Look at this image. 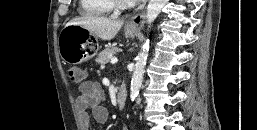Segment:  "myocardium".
Wrapping results in <instances>:
<instances>
[{"instance_id": "f54148a6", "label": "myocardium", "mask_w": 257, "mask_h": 130, "mask_svg": "<svg viewBox=\"0 0 257 130\" xmlns=\"http://www.w3.org/2000/svg\"><path fill=\"white\" fill-rule=\"evenodd\" d=\"M110 6L115 10H128L134 7L135 3L133 1L125 0H107Z\"/></svg>"}]
</instances>
